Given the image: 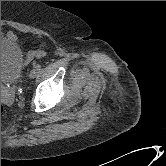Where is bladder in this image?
Wrapping results in <instances>:
<instances>
[{"label": "bladder", "instance_id": "1", "mask_svg": "<svg viewBox=\"0 0 166 166\" xmlns=\"http://www.w3.org/2000/svg\"><path fill=\"white\" fill-rule=\"evenodd\" d=\"M24 56L12 39L1 36V84L16 83L23 74Z\"/></svg>", "mask_w": 166, "mask_h": 166}]
</instances>
